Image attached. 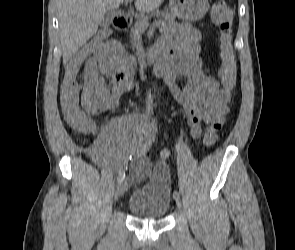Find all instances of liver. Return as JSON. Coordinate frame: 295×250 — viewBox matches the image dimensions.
Segmentation results:
<instances>
[{
  "label": "liver",
  "instance_id": "obj_1",
  "mask_svg": "<svg viewBox=\"0 0 295 250\" xmlns=\"http://www.w3.org/2000/svg\"><path fill=\"white\" fill-rule=\"evenodd\" d=\"M124 0H58L60 41L64 64L98 30L100 21L119 8ZM164 0H135V8L142 13L156 10Z\"/></svg>",
  "mask_w": 295,
  "mask_h": 250
}]
</instances>
